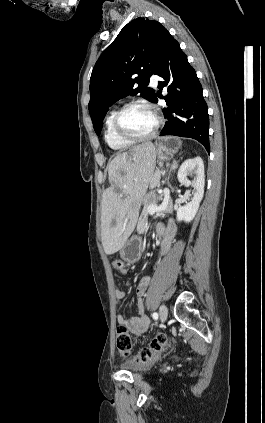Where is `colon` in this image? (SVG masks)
<instances>
[{
    "mask_svg": "<svg viewBox=\"0 0 265 423\" xmlns=\"http://www.w3.org/2000/svg\"><path fill=\"white\" fill-rule=\"evenodd\" d=\"M112 267L117 272L124 268V262L121 259H115ZM168 338L165 334L156 335L148 346L140 349L134 356L133 362L137 365H145L155 359L167 345ZM116 346L119 352L125 356L132 352V341L129 332L125 326L117 328Z\"/></svg>",
    "mask_w": 265,
    "mask_h": 423,
    "instance_id": "1",
    "label": "colon"
}]
</instances>
